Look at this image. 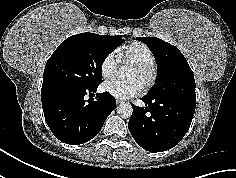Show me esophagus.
I'll use <instances>...</instances> for the list:
<instances>
[{
  "mask_svg": "<svg viewBox=\"0 0 236 178\" xmlns=\"http://www.w3.org/2000/svg\"><path fill=\"white\" fill-rule=\"evenodd\" d=\"M123 101H121V100H116V104L118 105V104H121Z\"/></svg>",
  "mask_w": 236,
  "mask_h": 178,
  "instance_id": "obj_1",
  "label": "esophagus"
}]
</instances>
